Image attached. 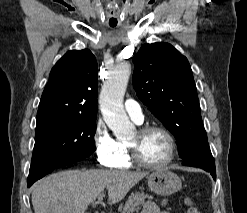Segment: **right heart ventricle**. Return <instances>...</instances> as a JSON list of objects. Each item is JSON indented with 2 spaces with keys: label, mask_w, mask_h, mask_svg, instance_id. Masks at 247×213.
<instances>
[{
  "label": "right heart ventricle",
  "mask_w": 247,
  "mask_h": 213,
  "mask_svg": "<svg viewBox=\"0 0 247 213\" xmlns=\"http://www.w3.org/2000/svg\"><path fill=\"white\" fill-rule=\"evenodd\" d=\"M119 145L121 148V156L117 164L115 165V167L120 168V169H129L132 167L133 163L131 162L129 158L126 143L119 142Z\"/></svg>",
  "instance_id": "right-heart-ventricle-1"
}]
</instances>
